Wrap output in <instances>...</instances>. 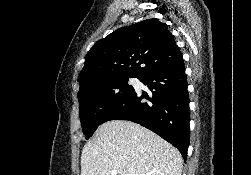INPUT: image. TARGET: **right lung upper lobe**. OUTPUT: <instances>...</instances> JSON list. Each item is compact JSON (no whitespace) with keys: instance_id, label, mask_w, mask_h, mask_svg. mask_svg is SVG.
Instances as JSON below:
<instances>
[{"instance_id":"1","label":"right lung upper lobe","mask_w":251,"mask_h":175,"mask_svg":"<svg viewBox=\"0 0 251 175\" xmlns=\"http://www.w3.org/2000/svg\"><path fill=\"white\" fill-rule=\"evenodd\" d=\"M182 60L168 26L156 18L147 19L98 40L86 55L78 81L82 88L123 76L142 78Z\"/></svg>"}]
</instances>
